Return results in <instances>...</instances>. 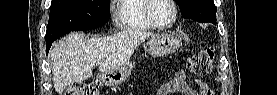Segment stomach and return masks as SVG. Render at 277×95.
<instances>
[{
	"label": "stomach",
	"mask_w": 277,
	"mask_h": 95,
	"mask_svg": "<svg viewBox=\"0 0 277 95\" xmlns=\"http://www.w3.org/2000/svg\"><path fill=\"white\" fill-rule=\"evenodd\" d=\"M180 44V39L175 34H157L148 40L147 52L153 57H163L175 52ZM132 68V63L127 61L119 68L102 74L101 81L107 86H117L128 79Z\"/></svg>",
	"instance_id": "1"
}]
</instances>
